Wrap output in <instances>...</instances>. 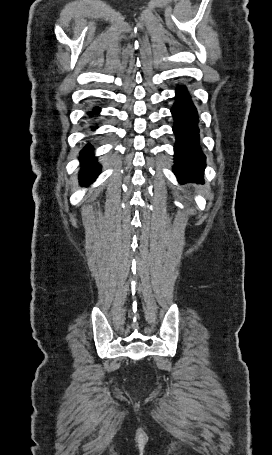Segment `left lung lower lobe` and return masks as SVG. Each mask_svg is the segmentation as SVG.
<instances>
[{"label":"left lung lower lobe","mask_w":272,"mask_h":455,"mask_svg":"<svg viewBox=\"0 0 272 455\" xmlns=\"http://www.w3.org/2000/svg\"><path fill=\"white\" fill-rule=\"evenodd\" d=\"M171 113L176 135L173 172L180 182H203L205 156L199 147L197 110L184 86L176 89V103Z\"/></svg>","instance_id":"obj_1"}]
</instances>
